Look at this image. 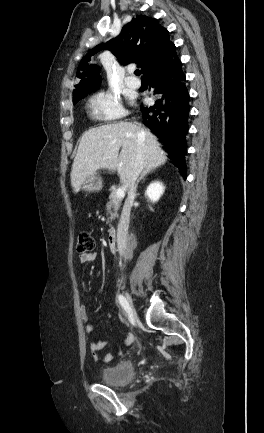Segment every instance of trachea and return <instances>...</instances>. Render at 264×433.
I'll return each instance as SVG.
<instances>
[{
	"label": "trachea",
	"mask_w": 264,
	"mask_h": 433,
	"mask_svg": "<svg viewBox=\"0 0 264 433\" xmlns=\"http://www.w3.org/2000/svg\"><path fill=\"white\" fill-rule=\"evenodd\" d=\"M135 74H136V75H140V71H139V70H136V71H135Z\"/></svg>",
	"instance_id": "1"
}]
</instances>
